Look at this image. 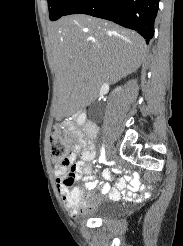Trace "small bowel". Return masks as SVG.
<instances>
[{"mask_svg": "<svg viewBox=\"0 0 183 246\" xmlns=\"http://www.w3.org/2000/svg\"><path fill=\"white\" fill-rule=\"evenodd\" d=\"M80 153L81 159L76 161L77 154ZM96 151L94 147L93 137L88 138L82 144H73L68 156L69 164L66 166H56L54 168V175L56 178V184L59 194L61 195L65 207L70 211L73 216H77L80 213L87 211L95 202V196L93 194L85 195L82 190L74 189L70 190V186L65 183L66 178H75L76 180H82L87 190L95 189V176L93 174V168L90 162L94 160ZM119 169H112V174H122V178L118 179L115 188H110L106 184H102L97 187L100 193L105 194L111 200H119L122 197L125 199H136L135 194L139 189H147V184H142L140 181V175L134 174V169H129L128 165H119ZM73 172V173H69ZM112 174L109 170H104L103 176L106 179H110ZM125 179H131L130 184H126ZM129 190H126V189ZM145 198L149 197L148 193L144 194ZM81 198L84 201V208L75 209L72 208L71 203L76 199Z\"/></svg>", "mask_w": 183, "mask_h": 246, "instance_id": "small-bowel-1", "label": "small bowel"}]
</instances>
